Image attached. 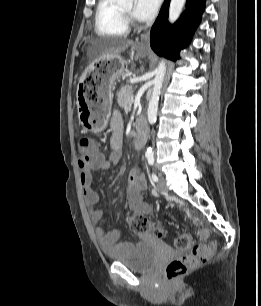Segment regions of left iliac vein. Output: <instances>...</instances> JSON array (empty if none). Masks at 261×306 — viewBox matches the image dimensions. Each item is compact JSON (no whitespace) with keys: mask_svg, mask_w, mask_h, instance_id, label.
I'll use <instances>...</instances> for the list:
<instances>
[{"mask_svg":"<svg viewBox=\"0 0 261 306\" xmlns=\"http://www.w3.org/2000/svg\"><path fill=\"white\" fill-rule=\"evenodd\" d=\"M157 187H158L159 191L162 192V193H167L168 192V187L166 185V181H165V178L163 176H160V179L157 183Z\"/></svg>","mask_w":261,"mask_h":306,"instance_id":"left-iliac-vein-1","label":"left iliac vein"}]
</instances>
